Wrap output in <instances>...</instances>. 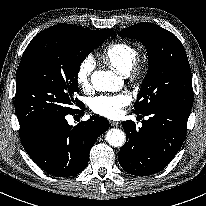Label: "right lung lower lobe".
<instances>
[{"mask_svg":"<svg viewBox=\"0 0 206 206\" xmlns=\"http://www.w3.org/2000/svg\"><path fill=\"white\" fill-rule=\"evenodd\" d=\"M76 113L83 111L74 109L69 114ZM109 126L106 119L91 116L72 127L63 115L21 125L19 132L24 149L42 170L54 176L67 177L86 168L92 146Z\"/></svg>","mask_w":206,"mask_h":206,"instance_id":"98d812e1","label":"right lung lower lobe"}]
</instances>
